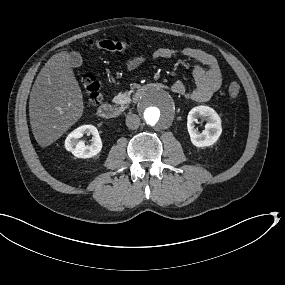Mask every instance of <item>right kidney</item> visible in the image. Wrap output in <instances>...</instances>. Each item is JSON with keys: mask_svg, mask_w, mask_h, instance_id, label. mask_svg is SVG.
Wrapping results in <instances>:
<instances>
[{"mask_svg": "<svg viewBox=\"0 0 285 285\" xmlns=\"http://www.w3.org/2000/svg\"><path fill=\"white\" fill-rule=\"evenodd\" d=\"M84 134L94 135L92 138L93 143L91 145L86 146L84 141H79V138H82ZM65 148L76 158L88 159L97 156L101 152L103 144L98 135V131L94 126L83 125L67 136Z\"/></svg>", "mask_w": 285, "mask_h": 285, "instance_id": "1", "label": "right kidney"}]
</instances>
